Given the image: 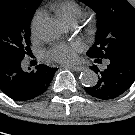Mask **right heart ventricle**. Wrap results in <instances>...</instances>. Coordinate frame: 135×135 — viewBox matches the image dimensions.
Masks as SVG:
<instances>
[{
    "label": "right heart ventricle",
    "mask_w": 135,
    "mask_h": 135,
    "mask_svg": "<svg viewBox=\"0 0 135 135\" xmlns=\"http://www.w3.org/2000/svg\"><path fill=\"white\" fill-rule=\"evenodd\" d=\"M53 10L67 24L72 21L78 22L82 16V7L74 0H65L53 5Z\"/></svg>",
    "instance_id": "obj_1"
}]
</instances>
